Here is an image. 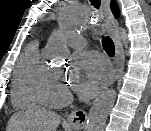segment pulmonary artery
<instances>
[{
  "instance_id": "pulmonary-artery-1",
  "label": "pulmonary artery",
  "mask_w": 151,
  "mask_h": 131,
  "mask_svg": "<svg viewBox=\"0 0 151 131\" xmlns=\"http://www.w3.org/2000/svg\"><path fill=\"white\" fill-rule=\"evenodd\" d=\"M68 42L73 47H79L85 44V39L82 35L71 33L68 36Z\"/></svg>"
}]
</instances>
